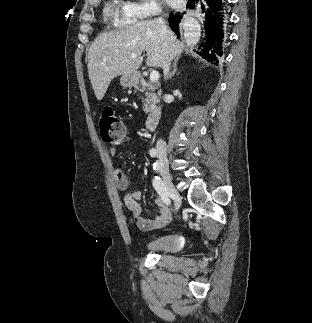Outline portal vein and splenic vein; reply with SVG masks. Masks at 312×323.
<instances>
[{
	"instance_id": "18ae733b",
	"label": "portal vein and splenic vein",
	"mask_w": 312,
	"mask_h": 323,
	"mask_svg": "<svg viewBox=\"0 0 312 323\" xmlns=\"http://www.w3.org/2000/svg\"><path fill=\"white\" fill-rule=\"evenodd\" d=\"M131 58H136V54H131ZM159 78H160L159 72H156V70H153V72H151V74H150L151 82H157V80H159Z\"/></svg>"
}]
</instances>
